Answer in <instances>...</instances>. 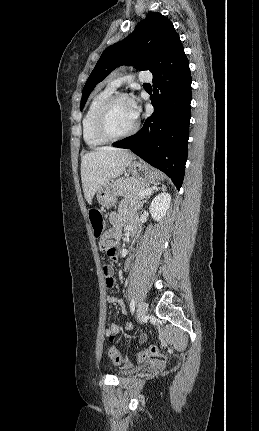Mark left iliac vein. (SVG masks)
<instances>
[{
  "label": "left iliac vein",
  "instance_id": "obj_1",
  "mask_svg": "<svg viewBox=\"0 0 259 431\" xmlns=\"http://www.w3.org/2000/svg\"><path fill=\"white\" fill-rule=\"evenodd\" d=\"M148 312V304L144 301H142L139 306H138V310H137V319L138 321L142 322L144 320V318L146 317Z\"/></svg>",
  "mask_w": 259,
  "mask_h": 431
}]
</instances>
